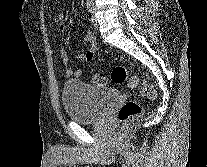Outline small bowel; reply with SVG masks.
<instances>
[{
    "label": "small bowel",
    "mask_w": 207,
    "mask_h": 167,
    "mask_svg": "<svg viewBox=\"0 0 207 167\" xmlns=\"http://www.w3.org/2000/svg\"><path fill=\"white\" fill-rule=\"evenodd\" d=\"M53 21L56 25H58V27L60 29L64 28V23H65V18L64 15L62 13H56L53 17ZM85 41L87 42V49L84 53L82 54H78L74 57H71L68 52L66 51V49L64 48L63 45H61V57H62V61L65 65V76L66 77H80L83 75L84 73V69L83 68H77V69H73L72 67L69 66V62L72 59H76V60H81L84 62H91L96 55V51H97V44L96 41L93 37V35L91 33H88L84 36Z\"/></svg>",
    "instance_id": "small-bowel-1"
}]
</instances>
